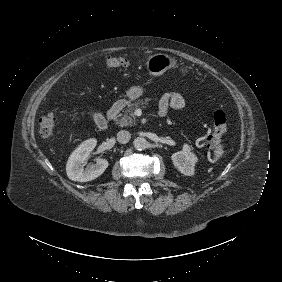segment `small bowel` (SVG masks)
Returning a JSON list of instances; mask_svg holds the SVG:
<instances>
[{
    "instance_id": "1",
    "label": "small bowel",
    "mask_w": 282,
    "mask_h": 282,
    "mask_svg": "<svg viewBox=\"0 0 282 282\" xmlns=\"http://www.w3.org/2000/svg\"><path fill=\"white\" fill-rule=\"evenodd\" d=\"M174 84L173 82H169ZM185 98L181 93L178 92H168L165 93L158 104V114L161 117H165L168 113L170 107L174 109H182L185 106Z\"/></svg>"
}]
</instances>
